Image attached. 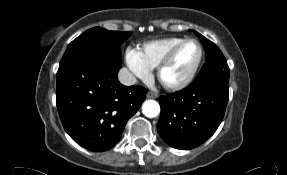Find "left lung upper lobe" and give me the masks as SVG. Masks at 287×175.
I'll return each mask as SVG.
<instances>
[{"instance_id":"1","label":"left lung upper lobe","mask_w":287,"mask_h":175,"mask_svg":"<svg viewBox=\"0 0 287 175\" xmlns=\"http://www.w3.org/2000/svg\"><path fill=\"white\" fill-rule=\"evenodd\" d=\"M195 33L203 43L206 52V63L203 65L192 84L197 85L216 80L228 83L230 70L224 55L213 42L198 32Z\"/></svg>"}]
</instances>
